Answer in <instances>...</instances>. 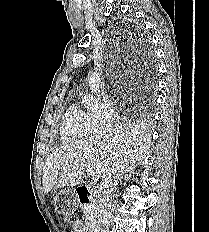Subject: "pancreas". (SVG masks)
I'll return each instance as SVG.
<instances>
[{"label":"pancreas","mask_w":209,"mask_h":232,"mask_svg":"<svg viewBox=\"0 0 209 232\" xmlns=\"http://www.w3.org/2000/svg\"><path fill=\"white\" fill-rule=\"evenodd\" d=\"M84 211L85 221L88 228L94 225L97 215V201L93 200L90 204L82 207Z\"/></svg>","instance_id":"obj_1"}]
</instances>
